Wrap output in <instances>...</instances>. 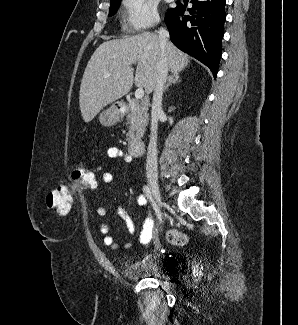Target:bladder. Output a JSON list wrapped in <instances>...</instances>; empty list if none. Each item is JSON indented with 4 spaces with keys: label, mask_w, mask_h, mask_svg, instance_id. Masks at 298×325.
I'll list each match as a JSON object with an SVG mask.
<instances>
[{
    "label": "bladder",
    "mask_w": 298,
    "mask_h": 325,
    "mask_svg": "<svg viewBox=\"0 0 298 325\" xmlns=\"http://www.w3.org/2000/svg\"><path fill=\"white\" fill-rule=\"evenodd\" d=\"M122 274L131 280L136 279H164L158 255L149 254L140 259L125 264L121 269Z\"/></svg>",
    "instance_id": "bladder-1"
}]
</instances>
